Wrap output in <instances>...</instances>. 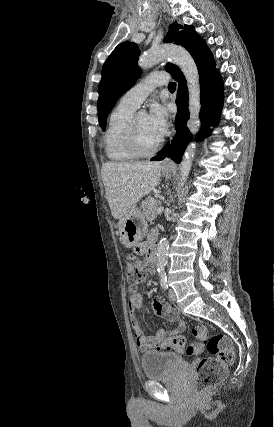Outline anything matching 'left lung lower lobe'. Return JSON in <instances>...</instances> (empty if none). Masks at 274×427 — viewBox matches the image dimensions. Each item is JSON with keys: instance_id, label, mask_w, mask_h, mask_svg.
<instances>
[{"instance_id": "1", "label": "left lung lower lobe", "mask_w": 274, "mask_h": 427, "mask_svg": "<svg viewBox=\"0 0 274 427\" xmlns=\"http://www.w3.org/2000/svg\"><path fill=\"white\" fill-rule=\"evenodd\" d=\"M190 54L194 58L199 72L202 105L200 111L202 128L199 132V137L203 138L210 132L209 127L218 123L223 102V83L218 70L215 68L213 56L204 40L200 41ZM173 78L179 82L176 99L178 105L175 121L176 135L171 144L168 142L158 155L151 159L153 161H160L168 156L176 163H179L186 145L191 140V134L186 127L189 119L186 80L181 71L173 75Z\"/></svg>"}]
</instances>
